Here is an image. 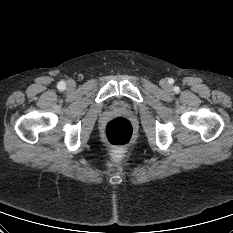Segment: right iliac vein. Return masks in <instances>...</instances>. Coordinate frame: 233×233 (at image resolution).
<instances>
[{
	"instance_id": "1",
	"label": "right iliac vein",
	"mask_w": 233,
	"mask_h": 233,
	"mask_svg": "<svg viewBox=\"0 0 233 233\" xmlns=\"http://www.w3.org/2000/svg\"><path fill=\"white\" fill-rule=\"evenodd\" d=\"M73 86H74L73 81H69V82H68V87H69V88H73Z\"/></svg>"
}]
</instances>
